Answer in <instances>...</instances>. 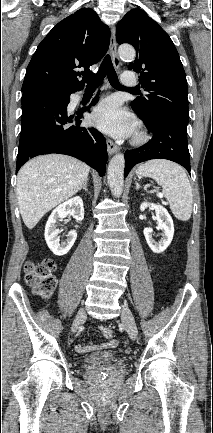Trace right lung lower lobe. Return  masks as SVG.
<instances>
[{"label":"right lung lower lobe","instance_id":"1","mask_svg":"<svg viewBox=\"0 0 213 433\" xmlns=\"http://www.w3.org/2000/svg\"><path fill=\"white\" fill-rule=\"evenodd\" d=\"M69 98L23 93L21 136L16 163L20 167L42 154L58 153L76 157L103 176L108 154L106 140L95 128L81 127L83 112L69 116ZM98 96L91 105L96 104Z\"/></svg>","mask_w":213,"mask_h":433}]
</instances>
